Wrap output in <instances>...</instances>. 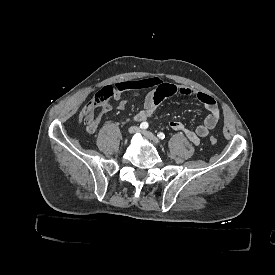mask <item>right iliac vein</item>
<instances>
[{"label":"right iliac vein","instance_id":"obj_1","mask_svg":"<svg viewBox=\"0 0 275 275\" xmlns=\"http://www.w3.org/2000/svg\"><path fill=\"white\" fill-rule=\"evenodd\" d=\"M139 131V127L138 126H131L130 128H129V130H128V133L129 134H134V133H136V132H138Z\"/></svg>","mask_w":275,"mask_h":275}]
</instances>
